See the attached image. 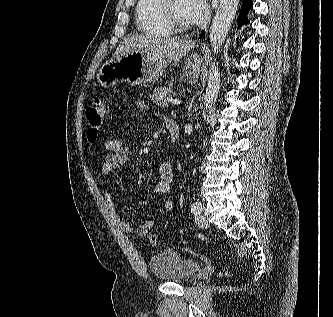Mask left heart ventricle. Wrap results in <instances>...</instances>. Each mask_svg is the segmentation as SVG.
Instances as JSON below:
<instances>
[{
	"mask_svg": "<svg viewBox=\"0 0 333 317\" xmlns=\"http://www.w3.org/2000/svg\"><path fill=\"white\" fill-rule=\"evenodd\" d=\"M172 8L173 17L178 24L185 27L193 25L189 15L187 0H175Z\"/></svg>",
	"mask_w": 333,
	"mask_h": 317,
	"instance_id": "left-heart-ventricle-1",
	"label": "left heart ventricle"
}]
</instances>
